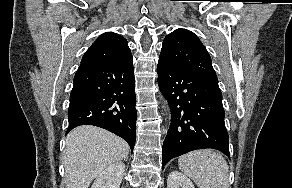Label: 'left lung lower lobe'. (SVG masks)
I'll use <instances>...</instances> for the list:
<instances>
[{"label":"left lung lower lobe","instance_id":"0a47b994","mask_svg":"<svg viewBox=\"0 0 292 188\" xmlns=\"http://www.w3.org/2000/svg\"><path fill=\"white\" fill-rule=\"evenodd\" d=\"M157 73L159 87L171 111V124L162 149V166L174 157L203 148L218 149L229 157V137L218 82L161 60Z\"/></svg>","mask_w":292,"mask_h":188}]
</instances>
